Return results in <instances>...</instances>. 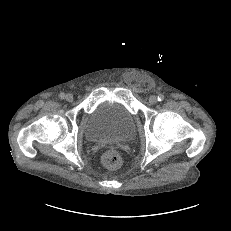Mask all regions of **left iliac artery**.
<instances>
[{
	"mask_svg": "<svg viewBox=\"0 0 231 231\" xmlns=\"http://www.w3.org/2000/svg\"><path fill=\"white\" fill-rule=\"evenodd\" d=\"M163 100H164V96H163V95H159V96H158V101L161 102V101H163Z\"/></svg>",
	"mask_w": 231,
	"mask_h": 231,
	"instance_id": "obj_1",
	"label": "left iliac artery"
}]
</instances>
